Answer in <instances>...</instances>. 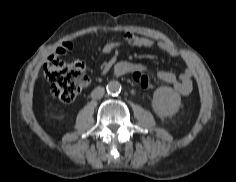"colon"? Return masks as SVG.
<instances>
[{
  "label": "colon",
  "mask_w": 236,
  "mask_h": 182,
  "mask_svg": "<svg viewBox=\"0 0 236 182\" xmlns=\"http://www.w3.org/2000/svg\"><path fill=\"white\" fill-rule=\"evenodd\" d=\"M44 75L50 84L52 95L67 103L73 101L88 82L83 62L75 60L66 63L56 55L48 57L44 66ZM132 80L141 89L152 87L150 78L142 71H134Z\"/></svg>",
  "instance_id": "1"
}]
</instances>
